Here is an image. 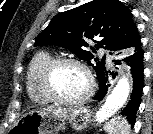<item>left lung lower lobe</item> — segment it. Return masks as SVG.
<instances>
[{
	"label": "left lung lower lobe",
	"mask_w": 153,
	"mask_h": 134,
	"mask_svg": "<svg viewBox=\"0 0 153 134\" xmlns=\"http://www.w3.org/2000/svg\"><path fill=\"white\" fill-rule=\"evenodd\" d=\"M144 53L140 43L133 49L130 56H128L125 61L131 67V74L133 77V90L131 93V99L129 100L126 107L121 112L122 115L126 116L131 126L135 124V118L137 110L139 108L143 90V78H144V67H143V58ZM116 65H119V60H113ZM99 80V90L94 96V99L102 100L108 90V71H104Z\"/></svg>",
	"instance_id": "obj_1"
}]
</instances>
